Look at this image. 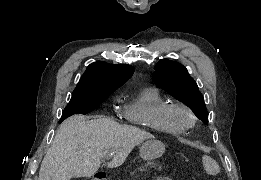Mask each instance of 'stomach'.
Masks as SVG:
<instances>
[{
    "label": "stomach",
    "mask_w": 261,
    "mask_h": 180,
    "mask_svg": "<svg viewBox=\"0 0 261 180\" xmlns=\"http://www.w3.org/2000/svg\"><path fill=\"white\" fill-rule=\"evenodd\" d=\"M165 152V145L159 140H147L140 147V157L145 161L155 160L163 155Z\"/></svg>",
    "instance_id": "stomach-1"
}]
</instances>
